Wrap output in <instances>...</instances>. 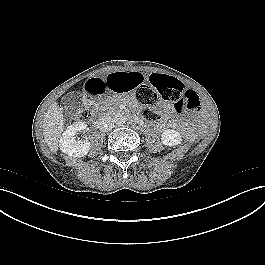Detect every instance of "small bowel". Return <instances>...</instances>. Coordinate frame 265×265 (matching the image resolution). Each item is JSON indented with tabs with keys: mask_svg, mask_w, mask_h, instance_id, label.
I'll return each mask as SVG.
<instances>
[{
	"mask_svg": "<svg viewBox=\"0 0 265 265\" xmlns=\"http://www.w3.org/2000/svg\"><path fill=\"white\" fill-rule=\"evenodd\" d=\"M144 77L140 71L134 70L130 73H115L105 78L89 79L83 84V91L87 95L103 94L106 90H114L116 92H126L134 89L143 83ZM172 107L165 105L161 112V118L166 120L170 117ZM174 126L178 124L173 123Z\"/></svg>",
	"mask_w": 265,
	"mask_h": 265,
	"instance_id": "small-bowel-1",
	"label": "small bowel"
}]
</instances>
